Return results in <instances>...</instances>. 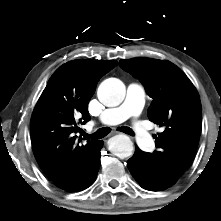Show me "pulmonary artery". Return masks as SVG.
Listing matches in <instances>:
<instances>
[{
	"label": "pulmonary artery",
	"mask_w": 221,
	"mask_h": 221,
	"mask_svg": "<svg viewBox=\"0 0 221 221\" xmlns=\"http://www.w3.org/2000/svg\"><path fill=\"white\" fill-rule=\"evenodd\" d=\"M145 104V91L140 84H129L126 90L124 102L116 108L104 110L99 121L103 125H116L129 118L137 117ZM136 142L143 150H150L154 146V141L150 133L139 123L133 127Z\"/></svg>",
	"instance_id": "1"
}]
</instances>
